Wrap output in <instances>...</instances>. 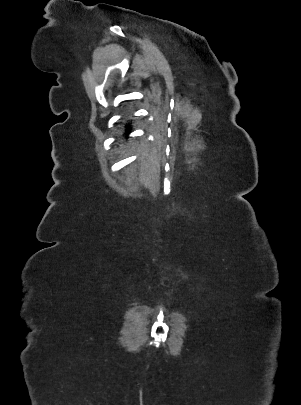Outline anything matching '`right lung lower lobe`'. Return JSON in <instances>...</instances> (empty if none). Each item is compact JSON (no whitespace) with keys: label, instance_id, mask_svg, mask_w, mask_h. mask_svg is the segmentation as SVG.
<instances>
[{"label":"right lung lower lobe","instance_id":"98d812e1","mask_svg":"<svg viewBox=\"0 0 301 405\" xmlns=\"http://www.w3.org/2000/svg\"><path fill=\"white\" fill-rule=\"evenodd\" d=\"M130 132H131V125H130V123H126L124 135L128 136Z\"/></svg>","mask_w":301,"mask_h":405}]
</instances>
